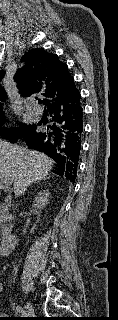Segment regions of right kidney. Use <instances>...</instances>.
I'll use <instances>...</instances> for the list:
<instances>
[{"label": "right kidney", "instance_id": "obj_1", "mask_svg": "<svg viewBox=\"0 0 118 320\" xmlns=\"http://www.w3.org/2000/svg\"><path fill=\"white\" fill-rule=\"evenodd\" d=\"M49 192L47 190L40 191L34 199L32 210L39 213V211L48 204Z\"/></svg>", "mask_w": 118, "mask_h": 320}]
</instances>
